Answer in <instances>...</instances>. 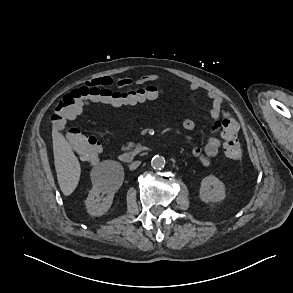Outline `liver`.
I'll list each match as a JSON object with an SVG mask.
<instances>
[{
    "label": "liver",
    "instance_id": "liver-1",
    "mask_svg": "<svg viewBox=\"0 0 293 293\" xmlns=\"http://www.w3.org/2000/svg\"><path fill=\"white\" fill-rule=\"evenodd\" d=\"M54 164L57 180L65 196L70 195L78 185L81 167L71 145L58 131L52 133Z\"/></svg>",
    "mask_w": 293,
    "mask_h": 293
}]
</instances>
